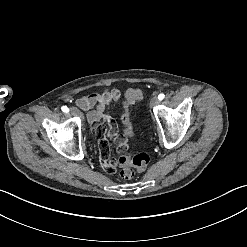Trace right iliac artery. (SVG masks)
Wrapping results in <instances>:
<instances>
[{
    "instance_id": "obj_1",
    "label": "right iliac artery",
    "mask_w": 247,
    "mask_h": 247,
    "mask_svg": "<svg viewBox=\"0 0 247 247\" xmlns=\"http://www.w3.org/2000/svg\"><path fill=\"white\" fill-rule=\"evenodd\" d=\"M61 110L65 113L69 112V108L67 106H62Z\"/></svg>"
}]
</instances>
